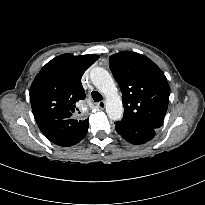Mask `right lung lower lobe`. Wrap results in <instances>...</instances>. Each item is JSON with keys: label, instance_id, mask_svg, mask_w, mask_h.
Instances as JSON below:
<instances>
[{"label": "right lung lower lobe", "instance_id": "obj_1", "mask_svg": "<svg viewBox=\"0 0 205 205\" xmlns=\"http://www.w3.org/2000/svg\"><path fill=\"white\" fill-rule=\"evenodd\" d=\"M62 127H63V121L56 120L48 124H45L39 128L42 131V133L45 135V137L48 138L51 142L63 147L72 146L80 142L85 137L88 131V130L85 131L84 134L78 140L70 141L62 135L61 133Z\"/></svg>", "mask_w": 205, "mask_h": 205}]
</instances>
